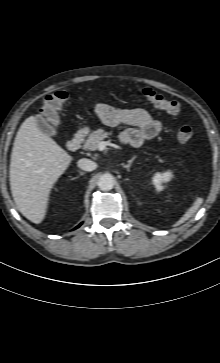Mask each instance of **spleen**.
<instances>
[{
  "label": "spleen",
  "instance_id": "obj_1",
  "mask_svg": "<svg viewBox=\"0 0 220 363\" xmlns=\"http://www.w3.org/2000/svg\"><path fill=\"white\" fill-rule=\"evenodd\" d=\"M203 203V199L202 198H197L195 200V202L193 203V205L189 208V210L183 215V217L175 224L180 225L182 223H184L185 221H187L200 207V205Z\"/></svg>",
  "mask_w": 220,
  "mask_h": 363
}]
</instances>
